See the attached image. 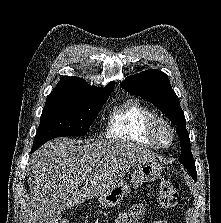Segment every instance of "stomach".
<instances>
[{"instance_id": "0dacf381", "label": "stomach", "mask_w": 221, "mask_h": 223, "mask_svg": "<svg viewBox=\"0 0 221 223\" xmlns=\"http://www.w3.org/2000/svg\"><path fill=\"white\" fill-rule=\"evenodd\" d=\"M162 172V166L157 160L139 161L132 174L131 183L137 188L145 182L156 180ZM130 186L119 182L105 194L99 196L98 202L104 207H115L121 204L130 193Z\"/></svg>"}]
</instances>
